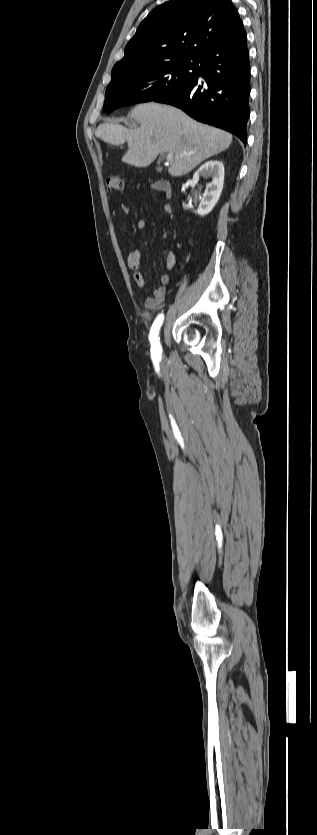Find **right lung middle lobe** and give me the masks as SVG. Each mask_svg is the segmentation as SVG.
<instances>
[{"label":"right lung middle lobe","instance_id":"1","mask_svg":"<svg viewBox=\"0 0 317 835\" xmlns=\"http://www.w3.org/2000/svg\"><path fill=\"white\" fill-rule=\"evenodd\" d=\"M197 67L198 61H184L156 65L136 72L112 73L103 111L109 113L124 105L154 101L195 79Z\"/></svg>","mask_w":317,"mask_h":835}]
</instances>
